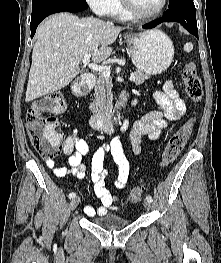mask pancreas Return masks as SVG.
I'll use <instances>...</instances> for the list:
<instances>
[{
    "label": "pancreas",
    "instance_id": "pancreas-1",
    "mask_svg": "<svg viewBox=\"0 0 221 263\" xmlns=\"http://www.w3.org/2000/svg\"><path fill=\"white\" fill-rule=\"evenodd\" d=\"M135 75L134 83L140 85L150 78L146 73H143L140 70H135L133 72ZM95 100L92 104L94 110H100L107 112L112 108V79L110 77H104L102 74H99L97 82L95 84Z\"/></svg>",
    "mask_w": 221,
    "mask_h": 263
}]
</instances>
